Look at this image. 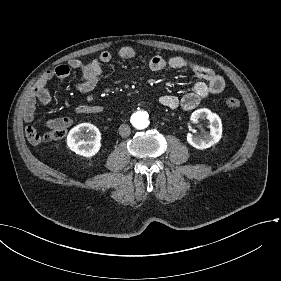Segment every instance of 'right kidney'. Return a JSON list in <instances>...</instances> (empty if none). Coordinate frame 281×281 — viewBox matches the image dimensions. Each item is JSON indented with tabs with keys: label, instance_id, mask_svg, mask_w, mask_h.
<instances>
[{
	"label": "right kidney",
	"instance_id": "ca27d5eb",
	"mask_svg": "<svg viewBox=\"0 0 281 281\" xmlns=\"http://www.w3.org/2000/svg\"><path fill=\"white\" fill-rule=\"evenodd\" d=\"M99 129L90 123H81L71 129V151L82 157L95 156L101 148Z\"/></svg>",
	"mask_w": 281,
	"mask_h": 281
}]
</instances>
